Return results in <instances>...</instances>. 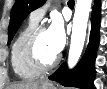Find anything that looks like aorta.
<instances>
[{"label":"aorta","instance_id":"aorta-1","mask_svg":"<svg viewBox=\"0 0 107 89\" xmlns=\"http://www.w3.org/2000/svg\"><path fill=\"white\" fill-rule=\"evenodd\" d=\"M92 0H77L73 18L71 43L68 54V67L74 68L81 56Z\"/></svg>","mask_w":107,"mask_h":89}]
</instances>
